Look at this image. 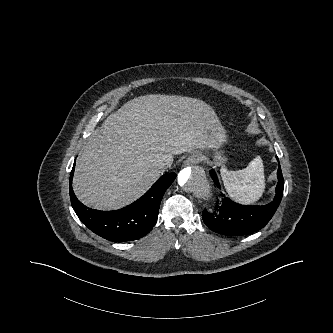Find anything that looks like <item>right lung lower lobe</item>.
<instances>
[{"mask_svg":"<svg viewBox=\"0 0 333 333\" xmlns=\"http://www.w3.org/2000/svg\"><path fill=\"white\" fill-rule=\"evenodd\" d=\"M70 174V198L78 218L97 235L113 241H132L139 239L154 226L161 199L174 181L176 174L163 175L141 198L134 203L115 211H99L86 207L74 195Z\"/></svg>","mask_w":333,"mask_h":333,"instance_id":"1","label":"right lung lower lobe"}]
</instances>
